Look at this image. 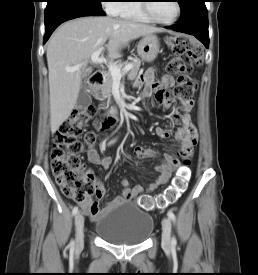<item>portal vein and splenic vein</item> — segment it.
Returning <instances> with one entry per match:
<instances>
[{
	"mask_svg": "<svg viewBox=\"0 0 258 275\" xmlns=\"http://www.w3.org/2000/svg\"><path fill=\"white\" fill-rule=\"evenodd\" d=\"M102 50H103V48H100L99 50L95 51L90 57V62L96 63V64L105 63L106 59L104 57H100ZM87 62H88V60H86L76 66L67 67L66 71L75 72V71L79 70L82 66L86 65ZM132 67H133L132 64H128L121 70L117 67L116 64L109 62V71H110L113 79H117V80H120L122 75L124 73H127Z\"/></svg>",
	"mask_w": 258,
	"mask_h": 275,
	"instance_id": "obj_1",
	"label": "portal vein and splenic vein"
}]
</instances>
